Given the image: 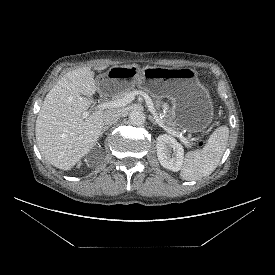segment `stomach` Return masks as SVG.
<instances>
[{
	"label": "stomach",
	"instance_id": "0dacf381",
	"mask_svg": "<svg viewBox=\"0 0 275 275\" xmlns=\"http://www.w3.org/2000/svg\"><path fill=\"white\" fill-rule=\"evenodd\" d=\"M96 82L102 93H117L137 85L155 96L173 98L171 115L179 128L189 132L201 131L213 118L210 93L193 68L113 66Z\"/></svg>",
	"mask_w": 275,
	"mask_h": 275
}]
</instances>
